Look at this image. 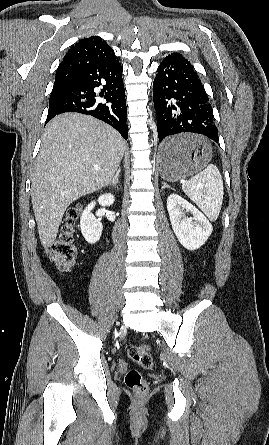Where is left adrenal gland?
I'll return each instance as SVG.
<instances>
[{
  "mask_svg": "<svg viewBox=\"0 0 269 445\" xmlns=\"http://www.w3.org/2000/svg\"><path fill=\"white\" fill-rule=\"evenodd\" d=\"M162 184H163V186H162V188H161L162 190L165 189V188L172 189V188H171L168 184H166L165 182H163ZM172 190H173V189H172Z\"/></svg>",
  "mask_w": 269,
  "mask_h": 445,
  "instance_id": "obj_1",
  "label": "left adrenal gland"
}]
</instances>
